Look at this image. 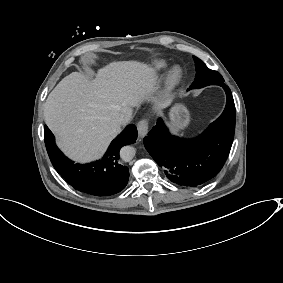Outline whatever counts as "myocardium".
Listing matches in <instances>:
<instances>
[{
    "mask_svg": "<svg viewBox=\"0 0 283 283\" xmlns=\"http://www.w3.org/2000/svg\"><path fill=\"white\" fill-rule=\"evenodd\" d=\"M182 80L183 70L178 65H174L164 72L157 90V107H164L170 101L172 94L181 84Z\"/></svg>",
    "mask_w": 283,
    "mask_h": 283,
    "instance_id": "1",
    "label": "myocardium"
}]
</instances>
